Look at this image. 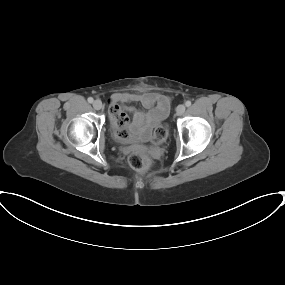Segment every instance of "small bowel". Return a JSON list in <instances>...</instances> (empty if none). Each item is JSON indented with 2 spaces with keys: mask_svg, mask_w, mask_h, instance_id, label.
<instances>
[{
  "mask_svg": "<svg viewBox=\"0 0 285 285\" xmlns=\"http://www.w3.org/2000/svg\"><path fill=\"white\" fill-rule=\"evenodd\" d=\"M132 102L141 104L144 110L123 109L120 105ZM110 105V118L115 126L119 118L124 120L125 135L130 131L133 135L142 134L147 137L151 129L167 116L170 97L158 92L121 93L110 98ZM126 111L132 113V118Z\"/></svg>",
  "mask_w": 285,
  "mask_h": 285,
  "instance_id": "obj_1",
  "label": "small bowel"
}]
</instances>
